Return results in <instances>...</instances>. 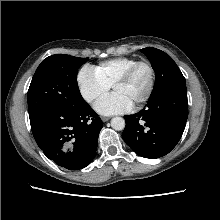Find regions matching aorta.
I'll use <instances>...</instances> for the list:
<instances>
[{"instance_id": "1", "label": "aorta", "mask_w": 220, "mask_h": 220, "mask_svg": "<svg viewBox=\"0 0 220 220\" xmlns=\"http://www.w3.org/2000/svg\"><path fill=\"white\" fill-rule=\"evenodd\" d=\"M111 127L114 130L121 131L125 128V120L122 117H114L111 119Z\"/></svg>"}]
</instances>
